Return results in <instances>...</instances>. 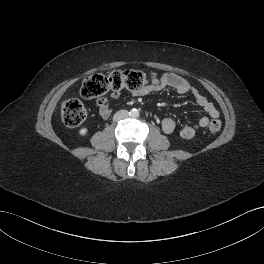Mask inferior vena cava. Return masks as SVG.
I'll list each match as a JSON object with an SVG mask.
<instances>
[{
    "mask_svg": "<svg viewBox=\"0 0 264 264\" xmlns=\"http://www.w3.org/2000/svg\"><path fill=\"white\" fill-rule=\"evenodd\" d=\"M129 116V113L127 110H120L118 112L115 113L114 117H113V120L114 121H118V120H121V119H125Z\"/></svg>",
    "mask_w": 264,
    "mask_h": 264,
    "instance_id": "1",
    "label": "inferior vena cava"
}]
</instances>
